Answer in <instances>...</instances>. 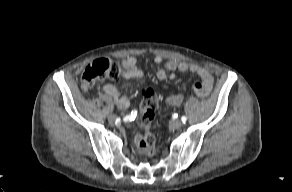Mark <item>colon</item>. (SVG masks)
<instances>
[{
  "mask_svg": "<svg viewBox=\"0 0 292 192\" xmlns=\"http://www.w3.org/2000/svg\"><path fill=\"white\" fill-rule=\"evenodd\" d=\"M123 76H125V70L121 65L113 63L107 58H102L93 61L85 68L82 74V86L86 90L100 80H115ZM159 102V97L153 89L148 88L143 91V99L138 115V119L143 126H148L151 123ZM140 145L146 155H152L154 136L149 133L146 134Z\"/></svg>",
  "mask_w": 292,
  "mask_h": 192,
  "instance_id": "obj_1",
  "label": "colon"
}]
</instances>
